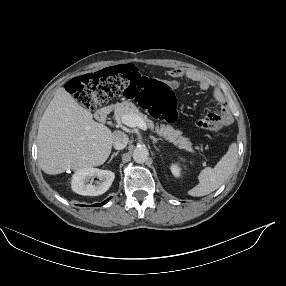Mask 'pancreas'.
I'll list each match as a JSON object with an SVG mask.
<instances>
[{"label": "pancreas", "mask_w": 286, "mask_h": 286, "mask_svg": "<svg viewBox=\"0 0 286 286\" xmlns=\"http://www.w3.org/2000/svg\"><path fill=\"white\" fill-rule=\"evenodd\" d=\"M115 118L121 120L123 115L132 114L140 117L147 125L148 128L154 130L158 135L164 137L167 141L173 143L181 149L190 150L191 142L182 136V131L175 130L170 125L161 124L160 126L154 125V122L150 120L147 115L141 113L138 108L129 101H123L113 105Z\"/></svg>", "instance_id": "1"}]
</instances>
